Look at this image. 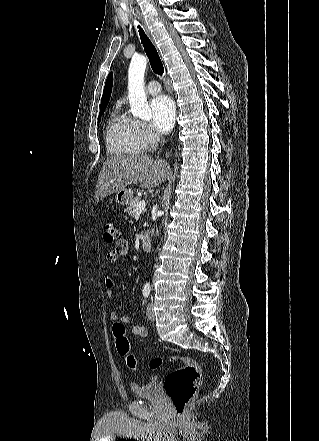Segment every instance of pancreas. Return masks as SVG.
I'll list each match as a JSON object with an SVG mask.
<instances>
[{"instance_id":"obj_1","label":"pancreas","mask_w":319,"mask_h":441,"mask_svg":"<svg viewBox=\"0 0 319 441\" xmlns=\"http://www.w3.org/2000/svg\"><path fill=\"white\" fill-rule=\"evenodd\" d=\"M140 202V199L138 197H135L132 199V201L129 203V206L127 207V213L129 215H134L136 213V206Z\"/></svg>"}]
</instances>
